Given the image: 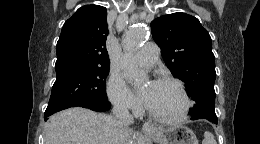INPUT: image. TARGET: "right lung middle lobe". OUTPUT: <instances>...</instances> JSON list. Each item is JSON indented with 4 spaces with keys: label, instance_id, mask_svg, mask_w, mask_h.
Masks as SVG:
<instances>
[{
    "label": "right lung middle lobe",
    "instance_id": "1",
    "mask_svg": "<svg viewBox=\"0 0 260 144\" xmlns=\"http://www.w3.org/2000/svg\"><path fill=\"white\" fill-rule=\"evenodd\" d=\"M109 66H62L56 68V81L46 111L86 106L108 101L106 77Z\"/></svg>",
    "mask_w": 260,
    "mask_h": 144
}]
</instances>
